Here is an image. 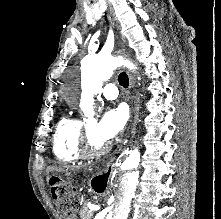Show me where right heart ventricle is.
I'll list each match as a JSON object with an SVG mask.
<instances>
[{
  "label": "right heart ventricle",
  "instance_id": "e07e8e85",
  "mask_svg": "<svg viewBox=\"0 0 221 219\" xmlns=\"http://www.w3.org/2000/svg\"><path fill=\"white\" fill-rule=\"evenodd\" d=\"M84 128L82 120L71 116H64L59 121L52 139L53 153L58 161L75 163L81 160V136Z\"/></svg>",
  "mask_w": 221,
  "mask_h": 219
}]
</instances>
